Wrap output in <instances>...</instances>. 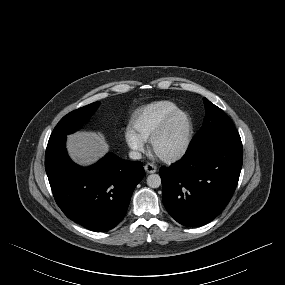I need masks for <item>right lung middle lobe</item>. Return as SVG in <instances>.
Here are the masks:
<instances>
[{"instance_id":"dd1d6c3e","label":"right lung middle lobe","mask_w":285,"mask_h":285,"mask_svg":"<svg viewBox=\"0 0 285 285\" xmlns=\"http://www.w3.org/2000/svg\"><path fill=\"white\" fill-rule=\"evenodd\" d=\"M100 102H94L64 116L54 128L50 137L67 135L78 130L97 110Z\"/></svg>"}]
</instances>
